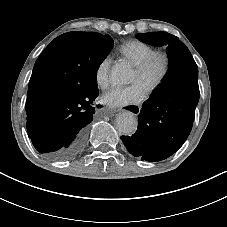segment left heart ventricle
<instances>
[{"instance_id": "obj_1", "label": "left heart ventricle", "mask_w": 227, "mask_h": 227, "mask_svg": "<svg viewBox=\"0 0 227 227\" xmlns=\"http://www.w3.org/2000/svg\"><path fill=\"white\" fill-rule=\"evenodd\" d=\"M160 68L161 64L159 62H156L145 77L138 76L134 72L131 78V83H137L145 87L147 84L153 82L157 78L160 72Z\"/></svg>"}]
</instances>
